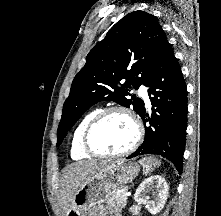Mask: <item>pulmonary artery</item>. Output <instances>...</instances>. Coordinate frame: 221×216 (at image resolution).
Masks as SVG:
<instances>
[{
	"mask_svg": "<svg viewBox=\"0 0 221 216\" xmlns=\"http://www.w3.org/2000/svg\"><path fill=\"white\" fill-rule=\"evenodd\" d=\"M140 95L143 97L144 101L146 102V104H150V99L147 93V89L145 87H141L139 90Z\"/></svg>",
	"mask_w": 221,
	"mask_h": 216,
	"instance_id": "pulmonary-artery-1",
	"label": "pulmonary artery"
}]
</instances>
